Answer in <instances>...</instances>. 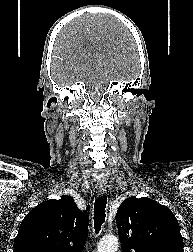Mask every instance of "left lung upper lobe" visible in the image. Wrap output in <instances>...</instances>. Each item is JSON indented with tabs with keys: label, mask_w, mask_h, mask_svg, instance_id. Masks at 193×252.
Returning a JSON list of instances; mask_svg holds the SVG:
<instances>
[{
	"label": "left lung upper lobe",
	"mask_w": 193,
	"mask_h": 252,
	"mask_svg": "<svg viewBox=\"0 0 193 252\" xmlns=\"http://www.w3.org/2000/svg\"><path fill=\"white\" fill-rule=\"evenodd\" d=\"M116 221L122 252H184L172 211L147 197H130L118 208Z\"/></svg>",
	"instance_id": "1"
}]
</instances>
